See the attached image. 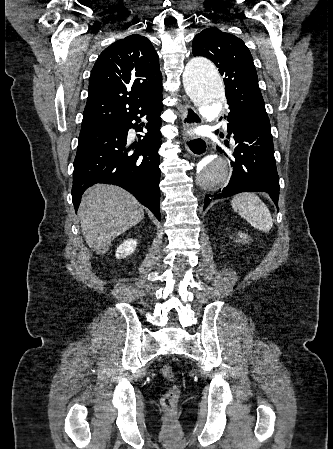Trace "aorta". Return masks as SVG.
I'll return each instance as SVG.
<instances>
[{"mask_svg":"<svg viewBox=\"0 0 333 449\" xmlns=\"http://www.w3.org/2000/svg\"><path fill=\"white\" fill-rule=\"evenodd\" d=\"M186 94L205 117L215 116L225 102V92L219 72L214 64L204 57H193L183 72ZM229 177V161L220 153L202 157L193 167V185L204 192L222 189Z\"/></svg>","mask_w":333,"mask_h":449,"instance_id":"762f6f07","label":"aorta"}]
</instances>
